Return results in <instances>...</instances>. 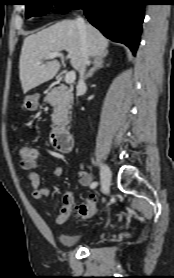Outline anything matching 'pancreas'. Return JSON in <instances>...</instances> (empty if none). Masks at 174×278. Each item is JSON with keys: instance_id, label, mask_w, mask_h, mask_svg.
<instances>
[{"instance_id": "cf45deb5", "label": "pancreas", "mask_w": 174, "mask_h": 278, "mask_svg": "<svg viewBox=\"0 0 174 278\" xmlns=\"http://www.w3.org/2000/svg\"><path fill=\"white\" fill-rule=\"evenodd\" d=\"M45 102L53 107L52 121L55 124L68 122L73 103L72 91L64 85L52 89L45 98Z\"/></svg>"}]
</instances>
